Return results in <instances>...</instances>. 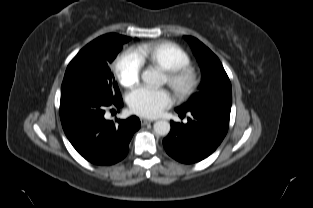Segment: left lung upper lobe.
<instances>
[{
	"label": "left lung upper lobe",
	"instance_id": "obj_1",
	"mask_svg": "<svg viewBox=\"0 0 313 208\" xmlns=\"http://www.w3.org/2000/svg\"><path fill=\"white\" fill-rule=\"evenodd\" d=\"M185 39L190 44L199 62L202 82L199 91L193 94L188 102L178 108L185 111L207 105L231 108V83L220 60L196 38L185 36Z\"/></svg>",
	"mask_w": 313,
	"mask_h": 208
}]
</instances>
